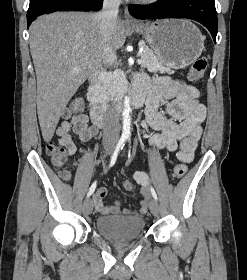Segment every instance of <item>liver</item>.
<instances>
[{
	"label": "liver",
	"instance_id": "1",
	"mask_svg": "<svg viewBox=\"0 0 247 280\" xmlns=\"http://www.w3.org/2000/svg\"><path fill=\"white\" fill-rule=\"evenodd\" d=\"M30 51L37 77V113L43 139H52L68 102L104 61V38L96 13L56 12L38 17L29 28ZM117 19L110 46L126 40Z\"/></svg>",
	"mask_w": 247,
	"mask_h": 280
}]
</instances>
